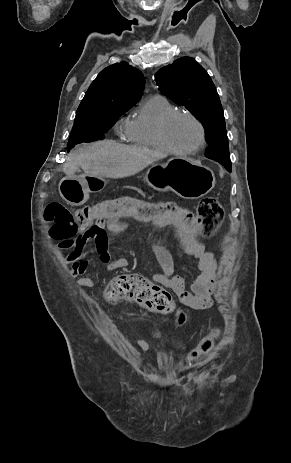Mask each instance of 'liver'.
Here are the masks:
<instances>
[{
    "label": "liver",
    "instance_id": "obj_1",
    "mask_svg": "<svg viewBox=\"0 0 291 463\" xmlns=\"http://www.w3.org/2000/svg\"><path fill=\"white\" fill-rule=\"evenodd\" d=\"M164 157L156 150L103 140L81 147L69 157L64 171L67 177H74L82 168L90 177L117 179L135 175Z\"/></svg>",
    "mask_w": 291,
    "mask_h": 463
}]
</instances>
